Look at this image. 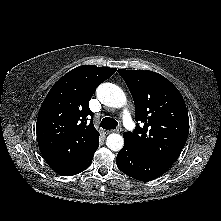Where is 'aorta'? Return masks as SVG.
Returning <instances> with one entry per match:
<instances>
[{
	"mask_svg": "<svg viewBox=\"0 0 221 221\" xmlns=\"http://www.w3.org/2000/svg\"><path fill=\"white\" fill-rule=\"evenodd\" d=\"M97 98L106 106L121 108L126 104L123 90L112 83H102L97 88ZM107 147L112 151H120L124 146V139L120 134L112 133L106 140Z\"/></svg>",
	"mask_w": 221,
	"mask_h": 221,
	"instance_id": "aorta-1",
	"label": "aorta"
}]
</instances>
